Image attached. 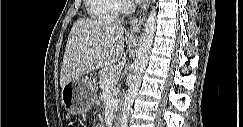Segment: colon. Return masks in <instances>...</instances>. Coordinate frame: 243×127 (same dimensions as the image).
Instances as JSON below:
<instances>
[{
  "label": "colon",
  "mask_w": 243,
  "mask_h": 127,
  "mask_svg": "<svg viewBox=\"0 0 243 127\" xmlns=\"http://www.w3.org/2000/svg\"><path fill=\"white\" fill-rule=\"evenodd\" d=\"M68 126H69V127H73L74 124H73L72 122H70V123L68 124Z\"/></svg>",
  "instance_id": "colon-1"
}]
</instances>
